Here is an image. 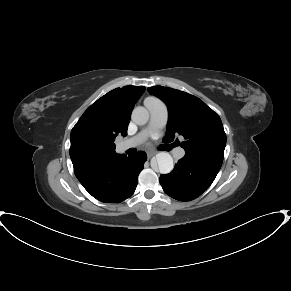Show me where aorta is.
I'll return each mask as SVG.
<instances>
[{"label": "aorta", "mask_w": 291, "mask_h": 291, "mask_svg": "<svg viewBox=\"0 0 291 291\" xmlns=\"http://www.w3.org/2000/svg\"><path fill=\"white\" fill-rule=\"evenodd\" d=\"M132 120L137 125L146 124L149 120L148 110L142 106L134 108L132 112ZM156 162L161 174H168L174 168L173 158L168 152H159L156 155Z\"/></svg>", "instance_id": "aorta-1"}]
</instances>
